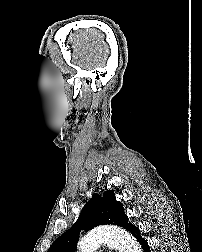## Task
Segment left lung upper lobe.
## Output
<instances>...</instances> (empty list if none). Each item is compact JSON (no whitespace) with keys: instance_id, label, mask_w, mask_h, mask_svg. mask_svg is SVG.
I'll return each instance as SVG.
<instances>
[{"instance_id":"1","label":"left lung upper lobe","mask_w":202,"mask_h":252,"mask_svg":"<svg viewBox=\"0 0 202 252\" xmlns=\"http://www.w3.org/2000/svg\"><path fill=\"white\" fill-rule=\"evenodd\" d=\"M109 224L121 226L126 230L133 225L128 223L123 205L116 201L113 191H105L103 196L93 194L75 224L57 238L47 252H75L80 230L88 231L96 226Z\"/></svg>"}]
</instances>
